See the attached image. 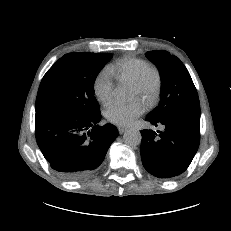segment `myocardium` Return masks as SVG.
Segmentation results:
<instances>
[{"label":"myocardium","mask_w":231,"mask_h":231,"mask_svg":"<svg viewBox=\"0 0 231 231\" xmlns=\"http://www.w3.org/2000/svg\"><path fill=\"white\" fill-rule=\"evenodd\" d=\"M151 76L155 78V84L154 87L148 91L147 83ZM132 86L142 94L143 99L148 107L154 106L160 98L163 86V75L161 70L156 66L150 65L133 82Z\"/></svg>","instance_id":"1"}]
</instances>
